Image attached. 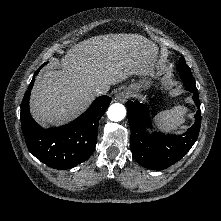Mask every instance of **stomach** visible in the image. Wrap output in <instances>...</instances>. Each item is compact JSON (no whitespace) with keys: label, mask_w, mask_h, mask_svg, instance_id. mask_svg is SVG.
I'll return each mask as SVG.
<instances>
[{"label":"stomach","mask_w":221,"mask_h":221,"mask_svg":"<svg viewBox=\"0 0 221 221\" xmlns=\"http://www.w3.org/2000/svg\"><path fill=\"white\" fill-rule=\"evenodd\" d=\"M150 75L151 71L143 73L140 75L139 83H132L127 87V90L132 94H137L142 88H147L151 84V81L149 80Z\"/></svg>","instance_id":"1"}]
</instances>
